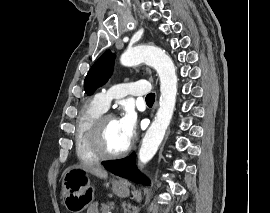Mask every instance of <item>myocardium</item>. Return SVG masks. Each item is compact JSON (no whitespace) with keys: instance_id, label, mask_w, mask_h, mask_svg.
<instances>
[{"instance_id":"myocardium-1","label":"myocardium","mask_w":270,"mask_h":213,"mask_svg":"<svg viewBox=\"0 0 270 213\" xmlns=\"http://www.w3.org/2000/svg\"><path fill=\"white\" fill-rule=\"evenodd\" d=\"M114 118L115 116L109 113L100 114L93 122L88 139L91 150L96 154V156L101 160H116L126 156L130 150V145H128L124 150L117 153H110L104 148L103 144V134L104 128L107 120Z\"/></svg>"}]
</instances>
